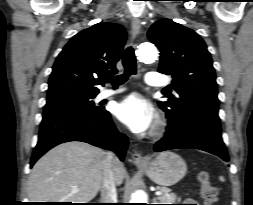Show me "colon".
Wrapping results in <instances>:
<instances>
[{
	"mask_svg": "<svg viewBox=\"0 0 253 205\" xmlns=\"http://www.w3.org/2000/svg\"><path fill=\"white\" fill-rule=\"evenodd\" d=\"M199 194L203 199L205 205H212L217 201L218 191L217 188L212 184L209 174L202 172L199 175Z\"/></svg>",
	"mask_w": 253,
	"mask_h": 205,
	"instance_id": "1",
	"label": "colon"
}]
</instances>
